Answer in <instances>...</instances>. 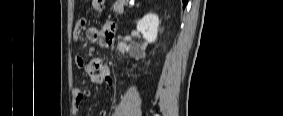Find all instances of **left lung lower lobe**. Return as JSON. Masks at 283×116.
I'll return each mask as SVG.
<instances>
[{
  "mask_svg": "<svg viewBox=\"0 0 283 116\" xmlns=\"http://www.w3.org/2000/svg\"><path fill=\"white\" fill-rule=\"evenodd\" d=\"M182 2H183V7H185L187 2H188V0H182Z\"/></svg>",
  "mask_w": 283,
  "mask_h": 116,
  "instance_id": "obj_1",
  "label": "left lung lower lobe"
}]
</instances>
